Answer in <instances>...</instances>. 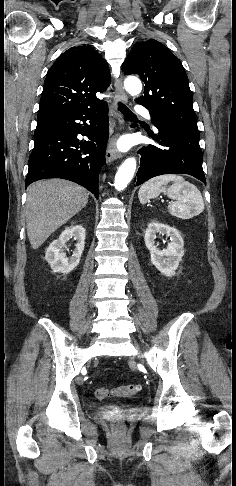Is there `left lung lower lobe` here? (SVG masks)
Returning a JSON list of instances; mask_svg holds the SVG:
<instances>
[{"label": "left lung lower lobe", "mask_w": 236, "mask_h": 486, "mask_svg": "<svg viewBox=\"0 0 236 486\" xmlns=\"http://www.w3.org/2000/svg\"><path fill=\"white\" fill-rule=\"evenodd\" d=\"M151 118L159 130L158 135L151 136L157 144L144 146L140 150V168L135 186L158 175L177 173L192 175L206 184L199 131Z\"/></svg>", "instance_id": "1"}]
</instances>
